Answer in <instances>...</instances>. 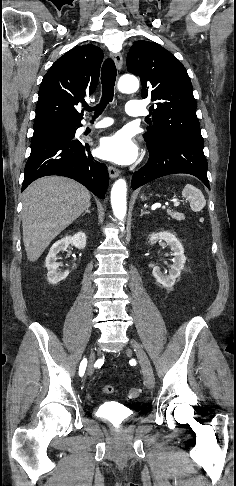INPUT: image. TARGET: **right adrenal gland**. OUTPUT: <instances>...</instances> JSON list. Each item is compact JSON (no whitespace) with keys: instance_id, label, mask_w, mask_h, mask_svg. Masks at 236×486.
I'll return each instance as SVG.
<instances>
[{"instance_id":"obj_1","label":"right adrenal gland","mask_w":236,"mask_h":486,"mask_svg":"<svg viewBox=\"0 0 236 486\" xmlns=\"http://www.w3.org/2000/svg\"><path fill=\"white\" fill-rule=\"evenodd\" d=\"M86 213H90L89 207L85 210L82 216H84Z\"/></svg>"}]
</instances>
